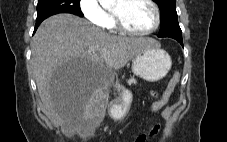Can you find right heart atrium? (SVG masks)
<instances>
[{
	"label": "right heart atrium",
	"mask_w": 227,
	"mask_h": 142,
	"mask_svg": "<svg viewBox=\"0 0 227 142\" xmlns=\"http://www.w3.org/2000/svg\"><path fill=\"white\" fill-rule=\"evenodd\" d=\"M79 7L81 13L89 22L96 26H105L109 14L98 0H80Z\"/></svg>",
	"instance_id": "right-heart-atrium-1"
}]
</instances>
